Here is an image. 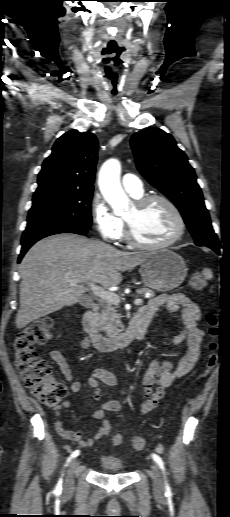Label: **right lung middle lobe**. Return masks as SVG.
Listing matches in <instances>:
<instances>
[{
	"label": "right lung middle lobe",
	"mask_w": 230,
	"mask_h": 517,
	"mask_svg": "<svg viewBox=\"0 0 230 517\" xmlns=\"http://www.w3.org/2000/svg\"><path fill=\"white\" fill-rule=\"evenodd\" d=\"M93 191L56 193L33 198L27 227L64 222L90 228Z\"/></svg>",
	"instance_id": "dd1d6c3e"
}]
</instances>
